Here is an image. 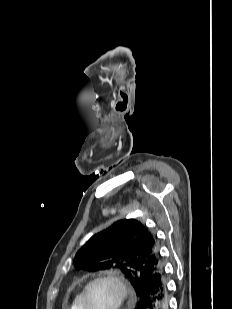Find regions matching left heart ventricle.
Listing matches in <instances>:
<instances>
[{
    "label": "left heart ventricle",
    "mask_w": 232,
    "mask_h": 309,
    "mask_svg": "<svg viewBox=\"0 0 232 309\" xmlns=\"http://www.w3.org/2000/svg\"><path fill=\"white\" fill-rule=\"evenodd\" d=\"M117 301L118 291L112 283L97 282L89 289V309H114Z\"/></svg>",
    "instance_id": "1"
}]
</instances>
